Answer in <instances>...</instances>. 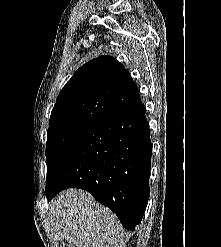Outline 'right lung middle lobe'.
Here are the masks:
<instances>
[{
    "instance_id": "dd1d6c3e",
    "label": "right lung middle lobe",
    "mask_w": 221,
    "mask_h": 247,
    "mask_svg": "<svg viewBox=\"0 0 221 247\" xmlns=\"http://www.w3.org/2000/svg\"><path fill=\"white\" fill-rule=\"evenodd\" d=\"M90 127L84 125H67L49 129L46 145V163L48 175L52 167L66 148Z\"/></svg>"
}]
</instances>
